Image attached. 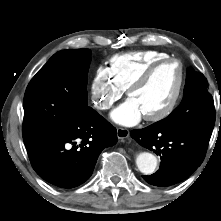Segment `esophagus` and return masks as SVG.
I'll return each instance as SVG.
<instances>
[{
	"label": "esophagus",
	"mask_w": 221,
	"mask_h": 221,
	"mask_svg": "<svg viewBox=\"0 0 221 221\" xmlns=\"http://www.w3.org/2000/svg\"><path fill=\"white\" fill-rule=\"evenodd\" d=\"M129 136V130L126 128H117V137L119 139H125Z\"/></svg>",
	"instance_id": "esophagus-1"
}]
</instances>
